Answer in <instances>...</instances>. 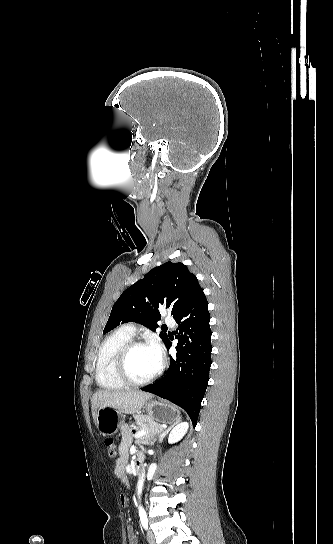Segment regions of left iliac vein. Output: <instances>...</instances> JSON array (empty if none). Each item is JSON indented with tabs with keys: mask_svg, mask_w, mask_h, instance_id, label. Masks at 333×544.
<instances>
[{
	"mask_svg": "<svg viewBox=\"0 0 333 544\" xmlns=\"http://www.w3.org/2000/svg\"><path fill=\"white\" fill-rule=\"evenodd\" d=\"M147 540L149 544H156L154 534L151 531L147 532Z\"/></svg>",
	"mask_w": 333,
	"mask_h": 544,
	"instance_id": "left-iliac-vein-1",
	"label": "left iliac vein"
}]
</instances>
